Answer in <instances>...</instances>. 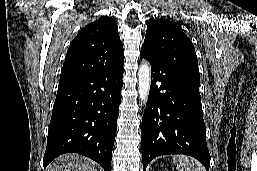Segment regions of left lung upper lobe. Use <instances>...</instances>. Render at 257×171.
<instances>
[{
  "mask_svg": "<svg viewBox=\"0 0 257 171\" xmlns=\"http://www.w3.org/2000/svg\"><path fill=\"white\" fill-rule=\"evenodd\" d=\"M141 53L154 59L168 57L199 75L193 43L182 29L167 20L158 19L149 25Z\"/></svg>",
  "mask_w": 257,
  "mask_h": 171,
  "instance_id": "5c2ea615",
  "label": "left lung upper lobe"
}]
</instances>
